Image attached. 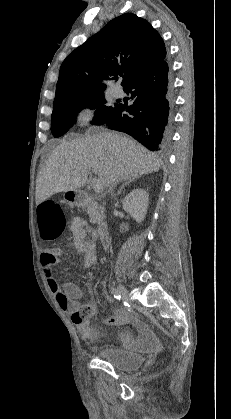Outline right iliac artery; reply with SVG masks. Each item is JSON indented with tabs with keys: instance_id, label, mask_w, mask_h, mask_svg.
<instances>
[{
	"instance_id": "1",
	"label": "right iliac artery",
	"mask_w": 231,
	"mask_h": 419,
	"mask_svg": "<svg viewBox=\"0 0 231 419\" xmlns=\"http://www.w3.org/2000/svg\"><path fill=\"white\" fill-rule=\"evenodd\" d=\"M110 292H111V294L113 295V297L115 299H117V300H120L121 299V296H120L119 292L116 289L111 288L110 289Z\"/></svg>"
}]
</instances>
